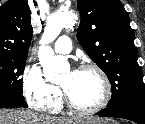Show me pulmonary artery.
Returning <instances> with one entry per match:
<instances>
[{
  "mask_svg": "<svg viewBox=\"0 0 145 124\" xmlns=\"http://www.w3.org/2000/svg\"><path fill=\"white\" fill-rule=\"evenodd\" d=\"M72 49V43L69 37L61 36L54 45V50L58 54H68Z\"/></svg>",
  "mask_w": 145,
  "mask_h": 124,
  "instance_id": "e3ab8cb5",
  "label": "pulmonary artery"
}]
</instances>
